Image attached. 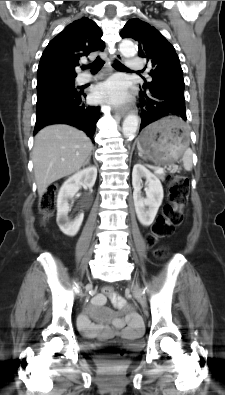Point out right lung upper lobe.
<instances>
[{
    "mask_svg": "<svg viewBox=\"0 0 225 395\" xmlns=\"http://www.w3.org/2000/svg\"><path fill=\"white\" fill-rule=\"evenodd\" d=\"M97 24L83 17L69 24L44 50L37 70V87L74 80L79 60L104 49Z\"/></svg>",
    "mask_w": 225,
    "mask_h": 395,
    "instance_id": "right-lung-upper-lobe-1",
    "label": "right lung upper lobe"
}]
</instances>
